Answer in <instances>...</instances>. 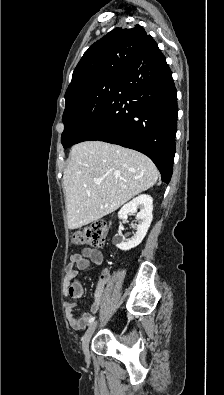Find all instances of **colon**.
Returning <instances> with one entry per match:
<instances>
[{
  "label": "colon",
  "mask_w": 224,
  "mask_h": 395,
  "mask_svg": "<svg viewBox=\"0 0 224 395\" xmlns=\"http://www.w3.org/2000/svg\"><path fill=\"white\" fill-rule=\"evenodd\" d=\"M107 225L104 222L85 227L75 231L71 236L74 245H88L92 248H100L106 240Z\"/></svg>",
  "instance_id": "obj_1"
}]
</instances>
